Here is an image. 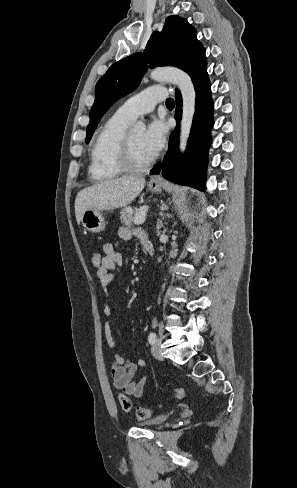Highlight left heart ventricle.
<instances>
[{"label": "left heart ventricle", "instance_id": "1", "mask_svg": "<svg viewBox=\"0 0 297 488\" xmlns=\"http://www.w3.org/2000/svg\"><path fill=\"white\" fill-rule=\"evenodd\" d=\"M143 134L144 133L141 131L129 134L132 149V159L137 165H143L152 158L143 145Z\"/></svg>", "mask_w": 297, "mask_h": 488}]
</instances>
